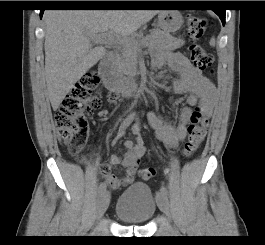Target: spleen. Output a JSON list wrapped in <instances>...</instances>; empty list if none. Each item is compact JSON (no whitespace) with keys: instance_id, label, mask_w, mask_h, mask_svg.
I'll use <instances>...</instances> for the list:
<instances>
[{"instance_id":"1","label":"spleen","mask_w":265,"mask_h":245,"mask_svg":"<svg viewBox=\"0 0 265 245\" xmlns=\"http://www.w3.org/2000/svg\"><path fill=\"white\" fill-rule=\"evenodd\" d=\"M210 45H211V46H215V39H214V38L211 39V41H210Z\"/></svg>"}]
</instances>
